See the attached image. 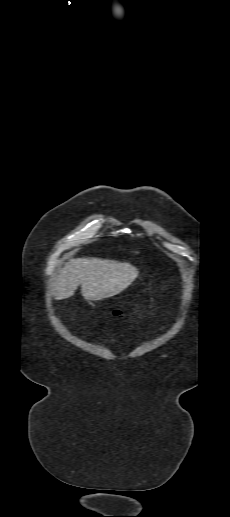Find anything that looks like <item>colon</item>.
<instances>
[{"mask_svg": "<svg viewBox=\"0 0 230 517\" xmlns=\"http://www.w3.org/2000/svg\"><path fill=\"white\" fill-rule=\"evenodd\" d=\"M114 315H115L116 317H122V316H123V313H122V311H121V310L116 309V310L114 311Z\"/></svg>", "mask_w": 230, "mask_h": 517, "instance_id": "5ec220e1", "label": "colon"}]
</instances>
